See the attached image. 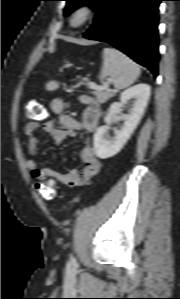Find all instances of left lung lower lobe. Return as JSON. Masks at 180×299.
<instances>
[{"mask_svg":"<svg viewBox=\"0 0 180 299\" xmlns=\"http://www.w3.org/2000/svg\"><path fill=\"white\" fill-rule=\"evenodd\" d=\"M163 0H102L83 35L109 43L158 75V6Z\"/></svg>","mask_w":180,"mask_h":299,"instance_id":"0a47b994","label":"left lung lower lobe"}]
</instances>
